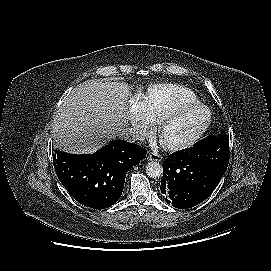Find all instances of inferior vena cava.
Wrapping results in <instances>:
<instances>
[{
    "label": "inferior vena cava",
    "mask_w": 271,
    "mask_h": 271,
    "mask_svg": "<svg viewBox=\"0 0 271 271\" xmlns=\"http://www.w3.org/2000/svg\"><path fill=\"white\" fill-rule=\"evenodd\" d=\"M119 135L122 140L130 143L138 140L143 141V136L134 128H125Z\"/></svg>",
    "instance_id": "1"
}]
</instances>
